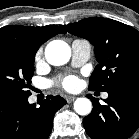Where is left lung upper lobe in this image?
Here are the masks:
<instances>
[{
  "label": "left lung upper lobe",
  "instance_id": "1",
  "mask_svg": "<svg viewBox=\"0 0 139 139\" xmlns=\"http://www.w3.org/2000/svg\"><path fill=\"white\" fill-rule=\"evenodd\" d=\"M62 27L94 46L99 64L89 79V90L108 92L139 77V32L133 27L101 17L86 18Z\"/></svg>",
  "mask_w": 139,
  "mask_h": 139
}]
</instances>
